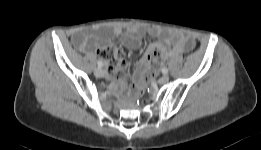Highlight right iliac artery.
I'll return each mask as SVG.
<instances>
[{
	"label": "right iliac artery",
	"instance_id": "1",
	"mask_svg": "<svg viewBox=\"0 0 261 150\" xmlns=\"http://www.w3.org/2000/svg\"><path fill=\"white\" fill-rule=\"evenodd\" d=\"M97 64H98V67H100V68L103 66V63L101 61H98Z\"/></svg>",
	"mask_w": 261,
	"mask_h": 150
}]
</instances>
